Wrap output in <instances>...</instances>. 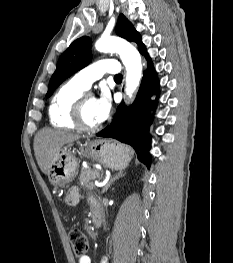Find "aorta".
I'll return each mask as SVG.
<instances>
[{"mask_svg": "<svg viewBox=\"0 0 233 263\" xmlns=\"http://www.w3.org/2000/svg\"><path fill=\"white\" fill-rule=\"evenodd\" d=\"M100 52L118 53L126 68V93L132 96L142 77L141 56L137 49L119 37H101L95 44Z\"/></svg>", "mask_w": 233, "mask_h": 263, "instance_id": "aorta-1", "label": "aorta"}]
</instances>
